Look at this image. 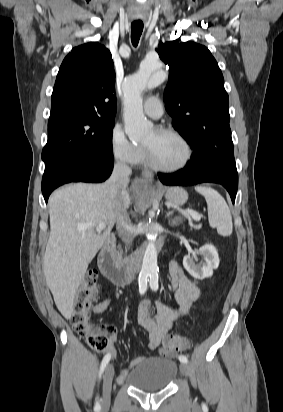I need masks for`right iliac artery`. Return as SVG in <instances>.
<instances>
[{
    "label": "right iliac artery",
    "mask_w": 283,
    "mask_h": 412,
    "mask_svg": "<svg viewBox=\"0 0 283 412\" xmlns=\"http://www.w3.org/2000/svg\"><path fill=\"white\" fill-rule=\"evenodd\" d=\"M147 277L148 275H143L140 280H139V292L140 294H144L146 289H147ZM111 355L110 354H106L102 360L101 363V367H100V373L99 376L101 377L102 373L104 372V369L106 367V365L108 364V362L110 361ZM95 410L99 411L100 410V404L97 401L95 404Z\"/></svg>",
    "instance_id": "obj_1"
}]
</instances>
